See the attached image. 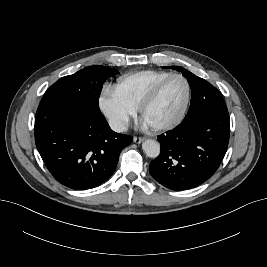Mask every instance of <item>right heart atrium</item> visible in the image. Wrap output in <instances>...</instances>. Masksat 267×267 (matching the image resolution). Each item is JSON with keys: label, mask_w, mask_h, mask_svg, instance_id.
I'll use <instances>...</instances> for the list:
<instances>
[{"label": "right heart atrium", "mask_w": 267, "mask_h": 267, "mask_svg": "<svg viewBox=\"0 0 267 267\" xmlns=\"http://www.w3.org/2000/svg\"><path fill=\"white\" fill-rule=\"evenodd\" d=\"M98 105L115 131H124L136 115V109L125 102L114 88H105L102 91L98 99Z\"/></svg>", "instance_id": "1"}]
</instances>
